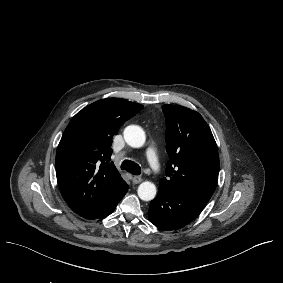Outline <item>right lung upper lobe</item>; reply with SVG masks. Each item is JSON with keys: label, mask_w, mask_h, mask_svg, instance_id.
<instances>
[{"label": "right lung upper lobe", "mask_w": 283, "mask_h": 283, "mask_svg": "<svg viewBox=\"0 0 283 283\" xmlns=\"http://www.w3.org/2000/svg\"><path fill=\"white\" fill-rule=\"evenodd\" d=\"M142 105L119 98L96 101L70 121L56 152L61 193L80 216L92 218L109 209L127 184L111 162L112 137Z\"/></svg>", "instance_id": "1"}]
</instances>
